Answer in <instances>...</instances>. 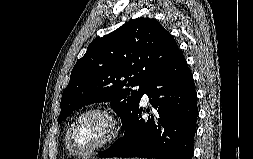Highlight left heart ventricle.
<instances>
[{"label":"left heart ventricle","instance_id":"left-heart-ventricle-1","mask_svg":"<svg viewBox=\"0 0 253 159\" xmlns=\"http://www.w3.org/2000/svg\"><path fill=\"white\" fill-rule=\"evenodd\" d=\"M111 133L109 119L101 113H89L75 125L72 137V148L85 152L105 140Z\"/></svg>","mask_w":253,"mask_h":159}]
</instances>
